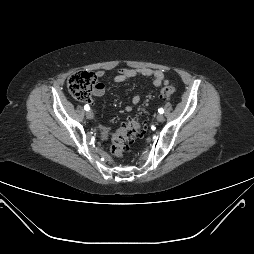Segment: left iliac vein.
<instances>
[{"mask_svg":"<svg viewBox=\"0 0 254 254\" xmlns=\"http://www.w3.org/2000/svg\"><path fill=\"white\" fill-rule=\"evenodd\" d=\"M158 122H163L164 121V116L162 114H158L156 117Z\"/></svg>","mask_w":254,"mask_h":254,"instance_id":"obj_1","label":"left iliac vein"}]
</instances>
